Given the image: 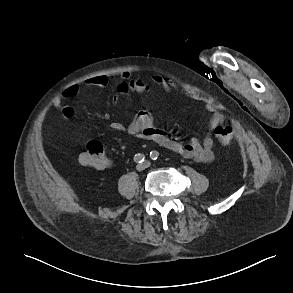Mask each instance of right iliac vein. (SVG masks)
I'll list each match as a JSON object with an SVG mask.
<instances>
[{
	"label": "right iliac vein",
	"instance_id": "right-iliac-vein-1",
	"mask_svg": "<svg viewBox=\"0 0 293 293\" xmlns=\"http://www.w3.org/2000/svg\"><path fill=\"white\" fill-rule=\"evenodd\" d=\"M144 168H145V164H139V165L137 166V169H138L139 171H142Z\"/></svg>",
	"mask_w": 293,
	"mask_h": 293
}]
</instances>
